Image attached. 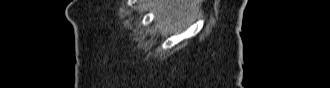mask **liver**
<instances>
[{
	"label": "liver",
	"instance_id": "1",
	"mask_svg": "<svg viewBox=\"0 0 330 88\" xmlns=\"http://www.w3.org/2000/svg\"><path fill=\"white\" fill-rule=\"evenodd\" d=\"M199 6L200 2L196 0H162L156 10L159 20L184 24L198 12Z\"/></svg>",
	"mask_w": 330,
	"mask_h": 88
}]
</instances>
